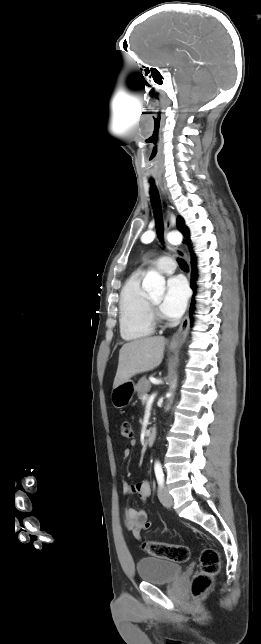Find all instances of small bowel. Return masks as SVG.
<instances>
[{
	"label": "small bowel",
	"instance_id": "c3829d8e",
	"mask_svg": "<svg viewBox=\"0 0 261 644\" xmlns=\"http://www.w3.org/2000/svg\"><path fill=\"white\" fill-rule=\"evenodd\" d=\"M131 444L134 446L136 443L132 441ZM130 454V449L126 448L123 452L124 459L129 458ZM122 490L126 495L136 493L144 501L150 495V484L145 479L132 484L123 481ZM124 525L137 540L141 539L142 530H149L152 527L146 511L136 507H129L124 510Z\"/></svg>",
	"mask_w": 261,
	"mask_h": 644
}]
</instances>
